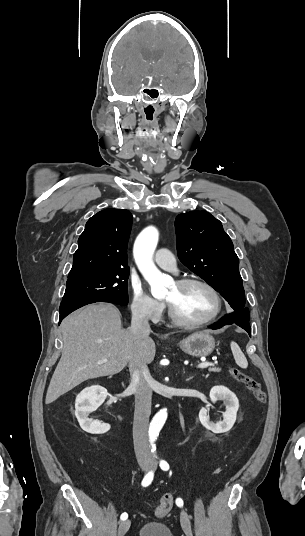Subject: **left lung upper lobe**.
<instances>
[{
    "label": "left lung upper lobe",
    "mask_w": 305,
    "mask_h": 536,
    "mask_svg": "<svg viewBox=\"0 0 305 536\" xmlns=\"http://www.w3.org/2000/svg\"><path fill=\"white\" fill-rule=\"evenodd\" d=\"M180 261L217 290L234 310L244 308L239 259L222 224L206 211L179 214L175 221Z\"/></svg>",
    "instance_id": "left-lung-upper-lobe-1"
}]
</instances>
